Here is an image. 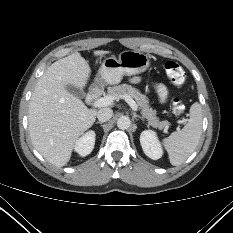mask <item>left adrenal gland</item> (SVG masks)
<instances>
[{"label":"left adrenal gland","mask_w":233,"mask_h":233,"mask_svg":"<svg viewBox=\"0 0 233 233\" xmlns=\"http://www.w3.org/2000/svg\"><path fill=\"white\" fill-rule=\"evenodd\" d=\"M140 118L142 121H144V118L141 117L140 115L136 114V113H133V118Z\"/></svg>","instance_id":"obj_1"}]
</instances>
